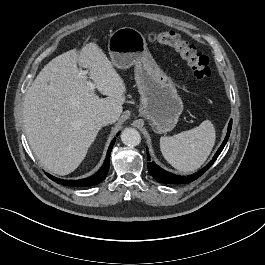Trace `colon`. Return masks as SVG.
Here are the masks:
<instances>
[{
    "label": "colon",
    "instance_id": "1",
    "mask_svg": "<svg viewBox=\"0 0 265 265\" xmlns=\"http://www.w3.org/2000/svg\"><path fill=\"white\" fill-rule=\"evenodd\" d=\"M148 39L172 47L191 68L200 87H210L212 85L208 58L195 47L182 40L177 33L173 31L150 32Z\"/></svg>",
    "mask_w": 265,
    "mask_h": 265
}]
</instances>
